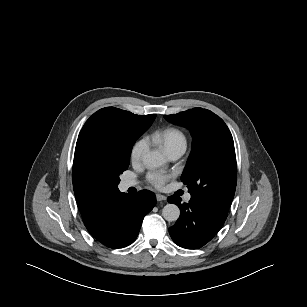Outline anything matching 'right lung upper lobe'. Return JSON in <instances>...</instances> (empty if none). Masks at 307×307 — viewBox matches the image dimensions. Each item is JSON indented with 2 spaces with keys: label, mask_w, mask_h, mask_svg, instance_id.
I'll list each match as a JSON object with an SVG mask.
<instances>
[{
  "label": "right lung upper lobe",
  "mask_w": 307,
  "mask_h": 307,
  "mask_svg": "<svg viewBox=\"0 0 307 307\" xmlns=\"http://www.w3.org/2000/svg\"><path fill=\"white\" fill-rule=\"evenodd\" d=\"M156 115H135L131 112L114 107H106L95 112L84 124L76 143L73 162V188L77 205L88 231L96 228L104 212L121 192L94 182L85 163V143L91 130L101 121L118 119L133 121L149 128Z\"/></svg>",
  "instance_id": "1"
}]
</instances>
